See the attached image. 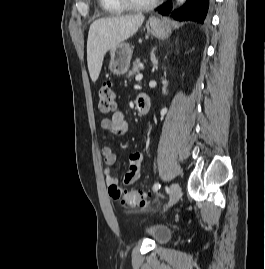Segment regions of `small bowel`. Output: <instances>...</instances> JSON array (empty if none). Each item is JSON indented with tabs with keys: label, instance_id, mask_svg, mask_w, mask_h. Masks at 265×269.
I'll list each match as a JSON object with an SVG mask.
<instances>
[{
	"label": "small bowel",
	"instance_id": "c3829d8e",
	"mask_svg": "<svg viewBox=\"0 0 265 269\" xmlns=\"http://www.w3.org/2000/svg\"><path fill=\"white\" fill-rule=\"evenodd\" d=\"M100 128L104 131L111 132L115 136H123L127 133L129 126L124 114L121 111H117L110 118H102ZM101 153L105 164L104 174L106 182L110 187L117 186L118 178L112 171L117 160L116 154L109 146H103ZM143 160L144 155L142 152H133L129 156V169L124 178L125 184H132L138 179Z\"/></svg>",
	"mask_w": 265,
	"mask_h": 269
}]
</instances>
